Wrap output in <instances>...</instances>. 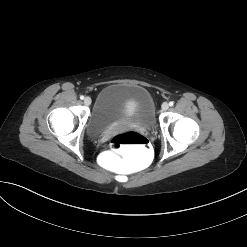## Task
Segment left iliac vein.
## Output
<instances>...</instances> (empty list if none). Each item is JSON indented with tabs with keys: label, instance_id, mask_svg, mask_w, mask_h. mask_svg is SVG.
Instances as JSON below:
<instances>
[{
	"label": "left iliac vein",
	"instance_id": "obj_1",
	"mask_svg": "<svg viewBox=\"0 0 247 247\" xmlns=\"http://www.w3.org/2000/svg\"><path fill=\"white\" fill-rule=\"evenodd\" d=\"M161 107L163 111H166L169 108V104L167 102H164Z\"/></svg>",
	"mask_w": 247,
	"mask_h": 247
}]
</instances>
